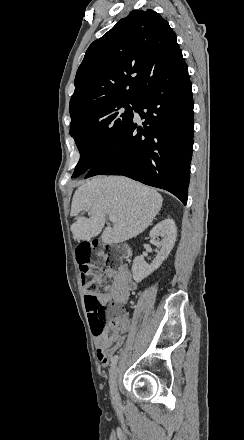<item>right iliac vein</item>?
<instances>
[{
	"label": "right iliac vein",
	"mask_w": 244,
	"mask_h": 440,
	"mask_svg": "<svg viewBox=\"0 0 244 440\" xmlns=\"http://www.w3.org/2000/svg\"><path fill=\"white\" fill-rule=\"evenodd\" d=\"M117 377H118V366H115L110 373L109 386H110V393L112 399L115 401L116 404H118Z\"/></svg>",
	"instance_id": "obj_1"
}]
</instances>
